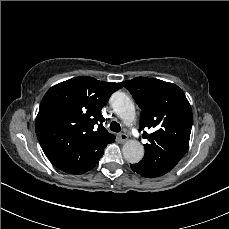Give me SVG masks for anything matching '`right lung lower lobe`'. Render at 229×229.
Here are the masks:
<instances>
[{"instance_id":"98d812e1","label":"right lung lower lobe","mask_w":229,"mask_h":229,"mask_svg":"<svg viewBox=\"0 0 229 229\" xmlns=\"http://www.w3.org/2000/svg\"><path fill=\"white\" fill-rule=\"evenodd\" d=\"M103 152H104V150L100 153V155L95 159V161L84 171V172H82V173H85V172H87V171H89V170H91L93 167H95V165L98 163V161H99V159L101 158V156L103 155ZM81 173V174H82Z\"/></svg>"}]
</instances>
